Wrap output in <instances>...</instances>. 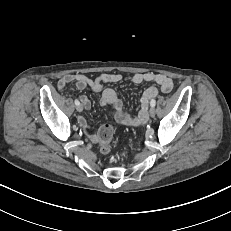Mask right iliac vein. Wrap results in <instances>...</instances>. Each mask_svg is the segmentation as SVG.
I'll use <instances>...</instances> for the list:
<instances>
[{"instance_id": "right-iliac-vein-1", "label": "right iliac vein", "mask_w": 231, "mask_h": 231, "mask_svg": "<svg viewBox=\"0 0 231 231\" xmlns=\"http://www.w3.org/2000/svg\"><path fill=\"white\" fill-rule=\"evenodd\" d=\"M76 110H77L78 112H82V111H83V106L80 105V104L77 105Z\"/></svg>"}]
</instances>
